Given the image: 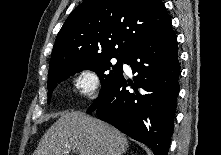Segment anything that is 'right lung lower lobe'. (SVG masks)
<instances>
[{
    "label": "right lung lower lobe",
    "instance_id": "1",
    "mask_svg": "<svg viewBox=\"0 0 221 155\" xmlns=\"http://www.w3.org/2000/svg\"><path fill=\"white\" fill-rule=\"evenodd\" d=\"M125 63L134 84L123 72L88 108L97 116L149 146L154 155H167L179 92L180 64L177 39L171 24L142 38ZM132 86L134 92L126 88Z\"/></svg>",
    "mask_w": 221,
    "mask_h": 155
}]
</instances>
